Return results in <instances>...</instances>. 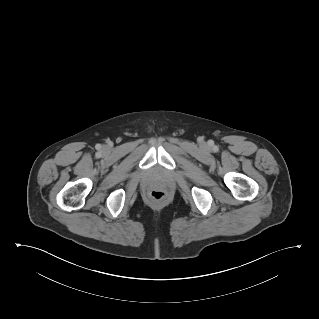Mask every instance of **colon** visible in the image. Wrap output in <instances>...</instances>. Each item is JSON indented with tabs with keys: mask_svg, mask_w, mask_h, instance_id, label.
Returning a JSON list of instances; mask_svg holds the SVG:
<instances>
[{
	"mask_svg": "<svg viewBox=\"0 0 319 319\" xmlns=\"http://www.w3.org/2000/svg\"><path fill=\"white\" fill-rule=\"evenodd\" d=\"M149 197L156 202H160L166 198V193L161 189H154L149 193Z\"/></svg>",
	"mask_w": 319,
	"mask_h": 319,
	"instance_id": "obj_1",
	"label": "colon"
}]
</instances>
